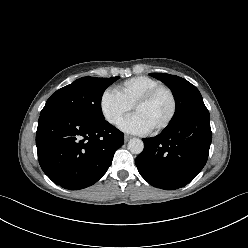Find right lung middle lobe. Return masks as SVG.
I'll return each instance as SVG.
<instances>
[{
	"label": "right lung middle lobe",
	"instance_id": "dd1d6c3e",
	"mask_svg": "<svg viewBox=\"0 0 248 248\" xmlns=\"http://www.w3.org/2000/svg\"><path fill=\"white\" fill-rule=\"evenodd\" d=\"M119 77H82L57 90L46 102L40 115L53 111H66L80 116L104 120L101 98L105 89Z\"/></svg>",
	"mask_w": 248,
	"mask_h": 248
}]
</instances>
